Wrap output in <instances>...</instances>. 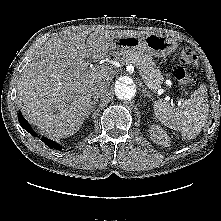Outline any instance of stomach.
Instances as JSON below:
<instances>
[{
  "mask_svg": "<svg viewBox=\"0 0 221 221\" xmlns=\"http://www.w3.org/2000/svg\"><path fill=\"white\" fill-rule=\"evenodd\" d=\"M174 39L161 34L131 35L115 40V49L122 52L145 53L149 56L165 57L177 49Z\"/></svg>",
  "mask_w": 221,
  "mask_h": 221,
  "instance_id": "stomach-1",
  "label": "stomach"
}]
</instances>
